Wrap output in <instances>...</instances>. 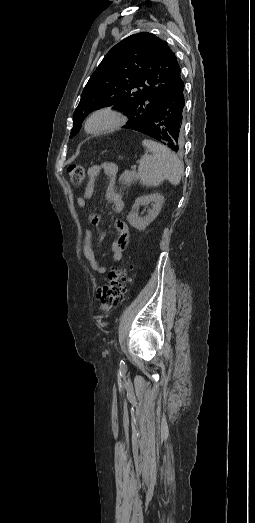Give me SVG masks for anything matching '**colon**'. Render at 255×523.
Masks as SVG:
<instances>
[{
    "label": "colon",
    "mask_w": 255,
    "mask_h": 523,
    "mask_svg": "<svg viewBox=\"0 0 255 523\" xmlns=\"http://www.w3.org/2000/svg\"><path fill=\"white\" fill-rule=\"evenodd\" d=\"M70 180L75 185H80L85 178V168L78 164H72L67 168ZM132 266L120 270H112L108 273L107 280L98 295L100 309L104 312L110 311L125 294V286L130 282L129 271Z\"/></svg>",
    "instance_id": "1"
}]
</instances>
